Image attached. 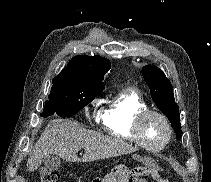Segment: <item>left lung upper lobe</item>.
I'll return each mask as SVG.
<instances>
[{"instance_id": "1", "label": "left lung upper lobe", "mask_w": 211, "mask_h": 182, "mask_svg": "<svg viewBox=\"0 0 211 182\" xmlns=\"http://www.w3.org/2000/svg\"><path fill=\"white\" fill-rule=\"evenodd\" d=\"M142 75L147 83L151 97L157 107L169 119L176 137L181 138V124L179 107L175 103L173 88L165 74L155 65H146L142 68Z\"/></svg>"}]
</instances>
